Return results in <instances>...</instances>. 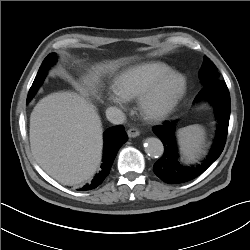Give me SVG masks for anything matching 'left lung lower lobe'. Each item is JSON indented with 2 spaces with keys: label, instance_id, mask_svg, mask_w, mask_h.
Listing matches in <instances>:
<instances>
[{
  "label": "left lung lower lobe",
  "instance_id": "1",
  "mask_svg": "<svg viewBox=\"0 0 250 250\" xmlns=\"http://www.w3.org/2000/svg\"><path fill=\"white\" fill-rule=\"evenodd\" d=\"M207 99L216 111L217 134L212 149L204 161L187 167L179 161L175 138L176 121H166L153 129L164 145L163 156L154 164V173L164 182L178 184L190 181L202 174L222 153L228 132L230 118V94L224 81L211 82L201 89L196 100Z\"/></svg>",
  "mask_w": 250,
  "mask_h": 250
}]
</instances>
